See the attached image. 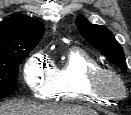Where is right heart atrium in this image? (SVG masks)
Listing matches in <instances>:
<instances>
[{"label": "right heart atrium", "instance_id": "right-heart-atrium-1", "mask_svg": "<svg viewBox=\"0 0 131 115\" xmlns=\"http://www.w3.org/2000/svg\"><path fill=\"white\" fill-rule=\"evenodd\" d=\"M23 77L26 85L37 98H49L56 88L54 67L41 52L31 55L26 60Z\"/></svg>", "mask_w": 131, "mask_h": 115}]
</instances>
